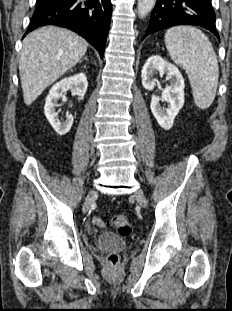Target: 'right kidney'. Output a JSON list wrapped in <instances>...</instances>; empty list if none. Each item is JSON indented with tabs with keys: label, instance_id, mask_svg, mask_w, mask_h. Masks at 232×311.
<instances>
[{
	"label": "right kidney",
	"instance_id": "obj_1",
	"mask_svg": "<svg viewBox=\"0 0 232 311\" xmlns=\"http://www.w3.org/2000/svg\"><path fill=\"white\" fill-rule=\"evenodd\" d=\"M88 87V81L84 73H79L72 77L65 78L55 85L49 91L46 98L44 113L58 135L67 134L73 124V116L69 113L66 114V118L63 121L59 120L58 113L56 112L57 102L62 95L68 90L72 89L78 96H84Z\"/></svg>",
	"mask_w": 232,
	"mask_h": 311
}]
</instances>
